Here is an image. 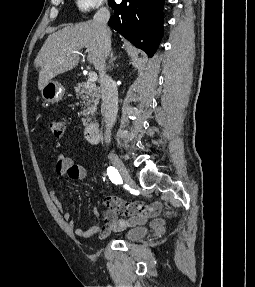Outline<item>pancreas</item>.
Here are the masks:
<instances>
[{
  "instance_id": "cf45deb5",
  "label": "pancreas",
  "mask_w": 255,
  "mask_h": 287,
  "mask_svg": "<svg viewBox=\"0 0 255 287\" xmlns=\"http://www.w3.org/2000/svg\"><path fill=\"white\" fill-rule=\"evenodd\" d=\"M75 92L77 98H81L82 104H84L83 116L85 118L82 122L86 126L90 122V116H93L100 100L99 90L93 82H83V84H77Z\"/></svg>"
}]
</instances>
